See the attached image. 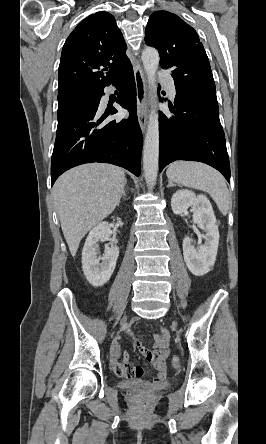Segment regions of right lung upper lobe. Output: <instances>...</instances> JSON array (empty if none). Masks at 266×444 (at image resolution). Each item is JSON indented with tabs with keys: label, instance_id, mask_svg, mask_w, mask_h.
<instances>
[{
	"label": "right lung upper lobe",
	"instance_id": "right-lung-upper-lobe-1",
	"mask_svg": "<svg viewBox=\"0 0 266 444\" xmlns=\"http://www.w3.org/2000/svg\"><path fill=\"white\" fill-rule=\"evenodd\" d=\"M127 45L113 15L91 14L68 36L58 71V98L99 92L130 64ZM102 67H105L101 70ZM109 69L104 74L102 71Z\"/></svg>",
	"mask_w": 266,
	"mask_h": 444
}]
</instances>
